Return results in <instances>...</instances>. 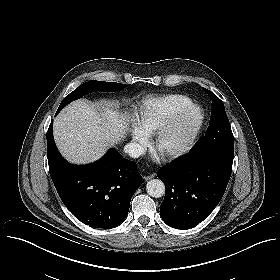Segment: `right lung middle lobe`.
<instances>
[{"mask_svg": "<svg viewBox=\"0 0 280 280\" xmlns=\"http://www.w3.org/2000/svg\"><path fill=\"white\" fill-rule=\"evenodd\" d=\"M125 84L114 83V82H101V81H89L80 85L77 89L72 91L68 96H66L61 102L56 114L71 101L82 97L92 91L101 92H114L125 88Z\"/></svg>", "mask_w": 280, "mask_h": 280, "instance_id": "dd1d6c3e", "label": "right lung middle lobe"}]
</instances>
